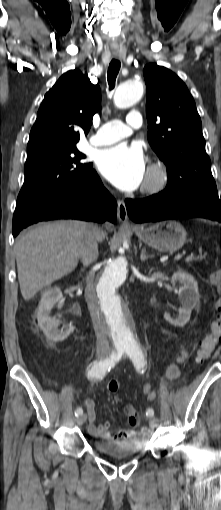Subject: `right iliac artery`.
<instances>
[{"label":"right iliac artery","mask_w":221,"mask_h":510,"mask_svg":"<svg viewBox=\"0 0 221 510\" xmlns=\"http://www.w3.org/2000/svg\"><path fill=\"white\" fill-rule=\"evenodd\" d=\"M123 352L117 351L111 354V356L104 360H96L91 364V368L88 371V378H102L107 372L114 367L115 363L119 361ZM83 413V409L78 407L75 411V416H79Z\"/></svg>","instance_id":"right-iliac-artery-1"}]
</instances>
